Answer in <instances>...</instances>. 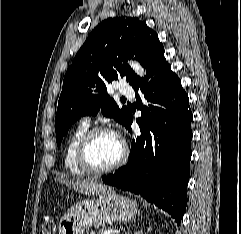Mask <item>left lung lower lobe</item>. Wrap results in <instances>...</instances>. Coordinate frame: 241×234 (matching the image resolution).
Listing matches in <instances>:
<instances>
[{
  "mask_svg": "<svg viewBox=\"0 0 241 234\" xmlns=\"http://www.w3.org/2000/svg\"><path fill=\"white\" fill-rule=\"evenodd\" d=\"M170 68L162 48L147 64V75L131 84L141 110V134L132 141L127 165L102 181L140 195L179 225L187 205L193 116L188 95ZM132 121L130 113L125 125L130 132Z\"/></svg>",
  "mask_w": 241,
  "mask_h": 234,
  "instance_id": "left-lung-lower-lobe-1",
  "label": "left lung lower lobe"
}]
</instances>
